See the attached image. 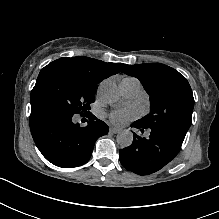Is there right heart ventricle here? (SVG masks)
Listing matches in <instances>:
<instances>
[{
    "label": "right heart ventricle",
    "mask_w": 219,
    "mask_h": 219,
    "mask_svg": "<svg viewBox=\"0 0 219 219\" xmlns=\"http://www.w3.org/2000/svg\"><path fill=\"white\" fill-rule=\"evenodd\" d=\"M121 82H138L139 83V81L136 78H133V77H125V78L122 79Z\"/></svg>",
    "instance_id": "obj_1"
}]
</instances>
